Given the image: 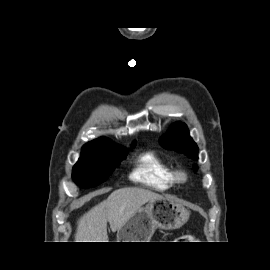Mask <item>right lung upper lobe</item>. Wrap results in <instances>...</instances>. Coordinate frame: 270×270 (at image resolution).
<instances>
[{
  "label": "right lung upper lobe",
  "instance_id": "1",
  "mask_svg": "<svg viewBox=\"0 0 270 270\" xmlns=\"http://www.w3.org/2000/svg\"><path fill=\"white\" fill-rule=\"evenodd\" d=\"M111 145H115V144L108 138L101 137L91 142H88L87 144L83 146V149L101 148V147H107Z\"/></svg>",
  "mask_w": 270,
  "mask_h": 270
}]
</instances>
